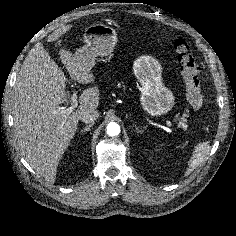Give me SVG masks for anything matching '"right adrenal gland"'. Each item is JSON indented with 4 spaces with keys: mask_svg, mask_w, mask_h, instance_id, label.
<instances>
[{
    "mask_svg": "<svg viewBox=\"0 0 236 236\" xmlns=\"http://www.w3.org/2000/svg\"><path fill=\"white\" fill-rule=\"evenodd\" d=\"M93 125H94V123H91L90 125L85 126V128L80 131V134L90 131V129Z\"/></svg>",
    "mask_w": 236,
    "mask_h": 236,
    "instance_id": "1",
    "label": "right adrenal gland"
}]
</instances>
